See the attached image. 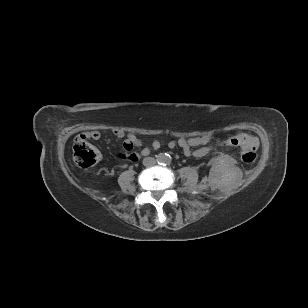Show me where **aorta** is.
Returning a JSON list of instances; mask_svg holds the SVG:
<instances>
[{
  "label": "aorta",
  "mask_w": 308,
  "mask_h": 308,
  "mask_svg": "<svg viewBox=\"0 0 308 308\" xmlns=\"http://www.w3.org/2000/svg\"><path fill=\"white\" fill-rule=\"evenodd\" d=\"M161 161L166 162L167 164H170L172 162V158L170 155H166L161 158Z\"/></svg>",
  "instance_id": "aorta-1"
}]
</instances>
